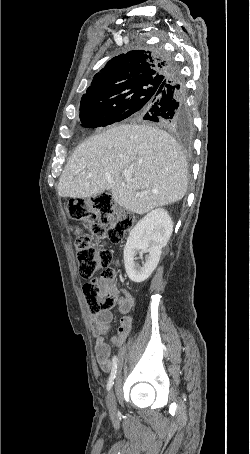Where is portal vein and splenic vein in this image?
I'll list each match as a JSON object with an SVG mask.
<instances>
[{
    "label": "portal vein and splenic vein",
    "instance_id": "obj_1",
    "mask_svg": "<svg viewBox=\"0 0 250 454\" xmlns=\"http://www.w3.org/2000/svg\"><path fill=\"white\" fill-rule=\"evenodd\" d=\"M129 178H130V177L127 175V176L125 177V181H129Z\"/></svg>",
    "mask_w": 250,
    "mask_h": 454
}]
</instances>
